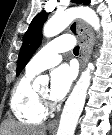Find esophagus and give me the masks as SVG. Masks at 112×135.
Segmentation results:
<instances>
[{"mask_svg": "<svg viewBox=\"0 0 112 135\" xmlns=\"http://www.w3.org/2000/svg\"><path fill=\"white\" fill-rule=\"evenodd\" d=\"M70 30L76 32L80 39V65L81 70L85 67L89 60L92 44L93 34L91 29L81 20L71 23ZM58 126V119H54L49 124L50 129H56Z\"/></svg>", "mask_w": 112, "mask_h": 135, "instance_id": "obj_1", "label": "esophagus"}]
</instances>
